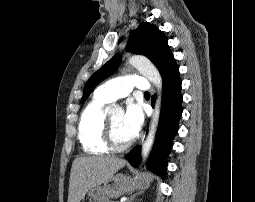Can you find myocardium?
I'll return each mask as SVG.
<instances>
[{"label":"myocardium","instance_id":"1","mask_svg":"<svg viewBox=\"0 0 255 202\" xmlns=\"http://www.w3.org/2000/svg\"><path fill=\"white\" fill-rule=\"evenodd\" d=\"M136 140L133 137L125 143H119L114 136L113 124L110 115H106L103 127V141L109 150L114 152H122L127 150Z\"/></svg>","mask_w":255,"mask_h":202}]
</instances>
